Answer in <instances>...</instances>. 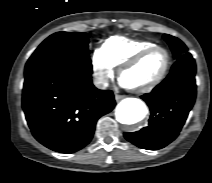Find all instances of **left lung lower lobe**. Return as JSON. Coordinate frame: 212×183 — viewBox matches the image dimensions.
Here are the masks:
<instances>
[{
    "mask_svg": "<svg viewBox=\"0 0 212 183\" xmlns=\"http://www.w3.org/2000/svg\"><path fill=\"white\" fill-rule=\"evenodd\" d=\"M196 65L190 53L180 56L167 78L152 92L141 96L150 107L148 126L124 133L136 146L157 150L171 143L182 129L196 98Z\"/></svg>",
    "mask_w": 212,
    "mask_h": 183,
    "instance_id": "obj_1",
    "label": "left lung lower lobe"
}]
</instances>
